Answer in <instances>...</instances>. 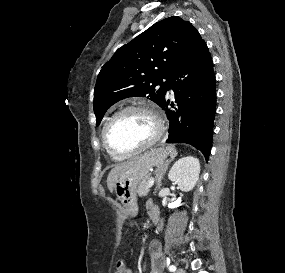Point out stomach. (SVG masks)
<instances>
[{
    "mask_svg": "<svg viewBox=\"0 0 285 273\" xmlns=\"http://www.w3.org/2000/svg\"><path fill=\"white\" fill-rule=\"evenodd\" d=\"M168 154V150L164 148L151 149L119 174L114 189L118 200L128 211L132 212L137 208L138 185L149 176V170L152 167L164 162Z\"/></svg>",
    "mask_w": 285,
    "mask_h": 273,
    "instance_id": "1",
    "label": "stomach"
}]
</instances>
